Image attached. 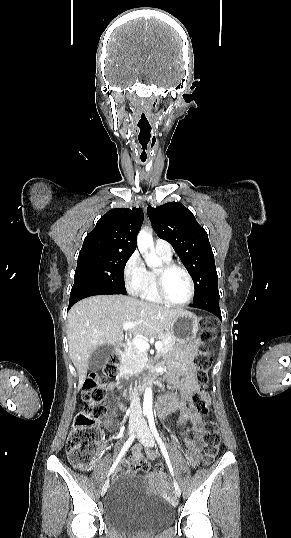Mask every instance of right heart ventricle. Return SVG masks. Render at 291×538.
<instances>
[{
	"instance_id": "obj_1",
	"label": "right heart ventricle",
	"mask_w": 291,
	"mask_h": 538,
	"mask_svg": "<svg viewBox=\"0 0 291 538\" xmlns=\"http://www.w3.org/2000/svg\"><path fill=\"white\" fill-rule=\"evenodd\" d=\"M156 254L163 261V263L171 262V257H167L159 252H156ZM154 273V270H146L145 282L139 295L145 301L152 303H162L163 301L160 299L156 292Z\"/></svg>"
}]
</instances>
